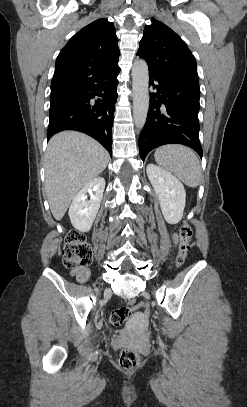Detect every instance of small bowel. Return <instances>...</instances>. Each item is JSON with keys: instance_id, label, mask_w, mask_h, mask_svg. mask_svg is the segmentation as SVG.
<instances>
[{"instance_id": "small-bowel-1", "label": "small bowel", "mask_w": 247, "mask_h": 407, "mask_svg": "<svg viewBox=\"0 0 247 407\" xmlns=\"http://www.w3.org/2000/svg\"><path fill=\"white\" fill-rule=\"evenodd\" d=\"M174 242L175 243L178 242V236L177 235H174ZM70 275L75 277L78 280V282L84 283L90 277V270L85 266H79V267L73 268L70 271Z\"/></svg>"}]
</instances>
